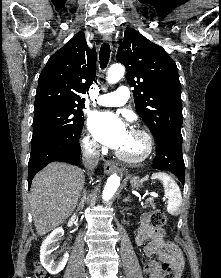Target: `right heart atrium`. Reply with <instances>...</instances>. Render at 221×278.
I'll return each instance as SVG.
<instances>
[{"instance_id": "d8ad5b80", "label": "right heart atrium", "mask_w": 221, "mask_h": 278, "mask_svg": "<svg viewBox=\"0 0 221 278\" xmlns=\"http://www.w3.org/2000/svg\"><path fill=\"white\" fill-rule=\"evenodd\" d=\"M82 146L85 152L94 154L98 150V144L93 137L87 135L82 140Z\"/></svg>"}]
</instances>
